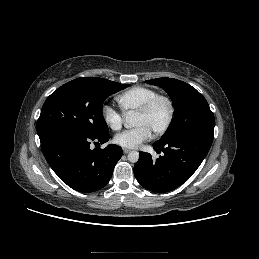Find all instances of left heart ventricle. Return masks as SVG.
Here are the masks:
<instances>
[{"mask_svg": "<svg viewBox=\"0 0 259 259\" xmlns=\"http://www.w3.org/2000/svg\"><path fill=\"white\" fill-rule=\"evenodd\" d=\"M168 106L164 101H159L147 115H135L134 125L146 126L152 133L160 129L167 121Z\"/></svg>", "mask_w": 259, "mask_h": 259, "instance_id": "left-heart-ventricle-1", "label": "left heart ventricle"}]
</instances>
